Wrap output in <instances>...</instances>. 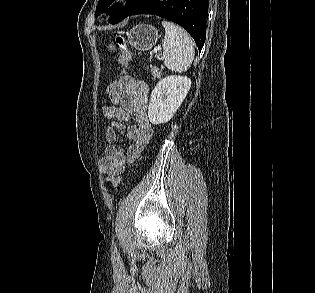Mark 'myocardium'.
<instances>
[{
	"instance_id": "f54148a6",
	"label": "myocardium",
	"mask_w": 315,
	"mask_h": 293,
	"mask_svg": "<svg viewBox=\"0 0 315 293\" xmlns=\"http://www.w3.org/2000/svg\"><path fill=\"white\" fill-rule=\"evenodd\" d=\"M124 2L125 0H115L113 4L118 7V6H122Z\"/></svg>"
}]
</instances>
